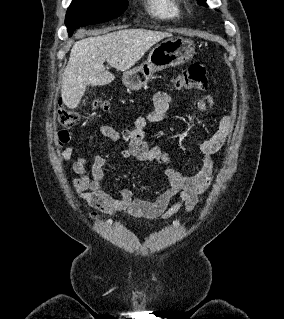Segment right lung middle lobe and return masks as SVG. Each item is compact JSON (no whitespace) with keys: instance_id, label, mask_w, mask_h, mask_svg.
<instances>
[{"instance_id":"right-lung-middle-lobe-1","label":"right lung middle lobe","mask_w":284,"mask_h":319,"mask_svg":"<svg viewBox=\"0 0 284 319\" xmlns=\"http://www.w3.org/2000/svg\"><path fill=\"white\" fill-rule=\"evenodd\" d=\"M127 8V0H73L65 18L69 35L76 28L109 21Z\"/></svg>"}]
</instances>
